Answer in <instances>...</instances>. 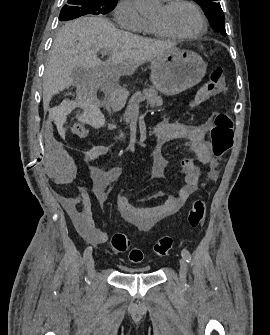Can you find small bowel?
I'll list each match as a JSON object with an SVG mask.
<instances>
[{"mask_svg":"<svg viewBox=\"0 0 270 335\" xmlns=\"http://www.w3.org/2000/svg\"><path fill=\"white\" fill-rule=\"evenodd\" d=\"M209 122L191 125L180 122L160 121L156 127L157 142L153 150L154 166L153 178H162L168 165L162 149L165 144L178 139H186L190 150L195 154L197 161L217 172V162L211 156L210 145L205 139L209 129ZM45 134H63L62 121H47ZM48 158H40V165H47L45 178H60L61 183H70L77 178L79 162L75 158H67L68 151L56 144L55 138H46ZM109 152L106 145H96L84 152L85 162H92L104 157ZM184 175V185L177 195H170L165 201L156 206H135L127 197L120 193L117 196V207L125 222L133 225L139 231L147 232L160 221L176 214L188 201L189 197L198 189L201 170L193 159L184 158L179 162ZM89 175L93 182V193L98 204L103 207L111 192L112 185L121 177L122 168L113 166L107 170L91 167ZM66 210L81 235L93 244H103L108 241V234L100 230L93 220L91 197L87 190L78 187L77 194L64 197Z\"/></svg>","mask_w":270,"mask_h":335,"instance_id":"obj_1","label":"small bowel"}]
</instances>
